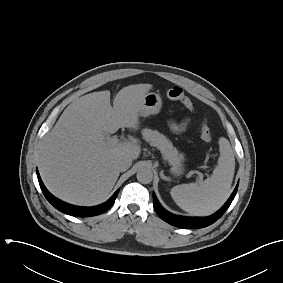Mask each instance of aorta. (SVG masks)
<instances>
[{
  "label": "aorta",
  "mask_w": 283,
  "mask_h": 283,
  "mask_svg": "<svg viewBox=\"0 0 283 283\" xmlns=\"http://www.w3.org/2000/svg\"><path fill=\"white\" fill-rule=\"evenodd\" d=\"M137 180L141 183L148 184L153 180V172L148 167H141L137 172Z\"/></svg>",
  "instance_id": "1"
}]
</instances>
